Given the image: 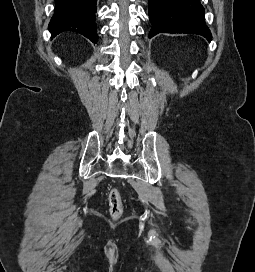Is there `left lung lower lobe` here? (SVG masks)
I'll list each match as a JSON object with an SVG mask.
<instances>
[{
	"label": "left lung lower lobe",
	"instance_id": "left-lung-lower-lobe-1",
	"mask_svg": "<svg viewBox=\"0 0 255 272\" xmlns=\"http://www.w3.org/2000/svg\"><path fill=\"white\" fill-rule=\"evenodd\" d=\"M152 28L149 38L158 33L197 34L211 41L205 24L204 8L199 0H149Z\"/></svg>",
	"mask_w": 255,
	"mask_h": 272
}]
</instances>
